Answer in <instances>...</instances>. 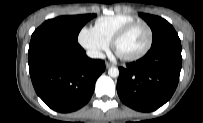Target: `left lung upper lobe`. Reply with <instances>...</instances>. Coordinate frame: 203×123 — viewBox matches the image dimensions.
Instances as JSON below:
<instances>
[{"label":"left lung upper lobe","instance_id":"5c2ea615","mask_svg":"<svg viewBox=\"0 0 203 123\" xmlns=\"http://www.w3.org/2000/svg\"><path fill=\"white\" fill-rule=\"evenodd\" d=\"M139 16L147 22L152 30L153 41L151 47L157 46L172 38H179L172 25L165 19L144 13H139Z\"/></svg>","mask_w":203,"mask_h":123}]
</instances>
